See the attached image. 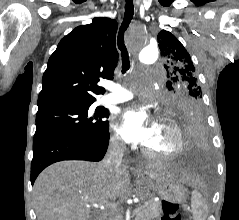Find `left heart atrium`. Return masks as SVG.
<instances>
[{
    "mask_svg": "<svg viewBox=\"0 0 239 220\" xmlns=\"http://www.w3.org/2000/svg\"><path fill=\"white\" fill-rule=\"evenodd\" d=\"M155 123L154 118L142 107L130 108L120 114L117 131L125 141L145 145L153 133Z\"/></svg>",
    "mask_w": 239,
    "mask_h": 220,
    "instance_id": "1",
    "label": "left heart atrium"
}]
</instances>
